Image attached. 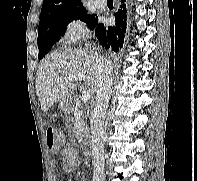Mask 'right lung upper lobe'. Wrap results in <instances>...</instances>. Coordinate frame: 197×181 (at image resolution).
<instances>
[{
	"instance_id": "obj_1",
	"label": "right lung upper lobe",
	"mask_w": 197,
	"mask_h": 181,
	"mask_svg": "<svg viewBox=\"0 0 197 181\" xmlns=\"http://www.w3.org/2000/svg\"><path fill=\"white\" fill-rule=\"evenodd\" d=\"M83 8L81 0H44L40 18Z\"/></svg>"
}]
</instances>
